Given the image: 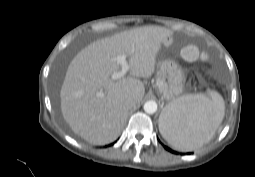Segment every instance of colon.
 <instances>
[{
	"instance_id": "5ec220e1",
	"label": "colon",
	"mask_w": 255,
	"mask_h": 177,
	"mask_svg": "<svg viewBox=\"0 0 255 177\" xmlns=\"http://www.w3.org/2000/svg\"><path fill=\"white\" fill-rule=\"evenodd\" d=\"M182 56L189 61H195V60H200V61H207L209 59V54L206 52H199L198 49L193 46L189 45L183 48L182 50Z\"/></svg>"
}]
</instances>
